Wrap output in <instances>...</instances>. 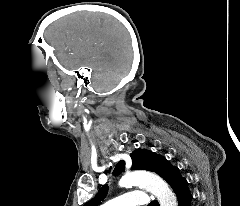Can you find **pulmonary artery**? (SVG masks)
Masks as SVG:
<instances>
[{
    "label": "pulmonary artery",
    "mask_w": 240,
    "mask_h": 206,
    "mask_svg": "<svg viewBox=\"0 0 240 206\" xmlns=\"http://www.w3.org/2000/svg\"><path fill=\"white\" fill-rule=\"evenodd\" d=\"M148 203L149 197L147 194L143 191L135 190L113 198L104 203L102 206H139L147 205Z\"/></svg>",
    "instance_id": "1"
}]
</instances>
